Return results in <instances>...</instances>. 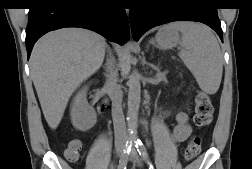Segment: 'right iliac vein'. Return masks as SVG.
<instances>
[{
  "label": "right iliac vein",
  "instance_id": "63e3f726",
  "mask_svg": "<svg viewBox=\"0 0 252 169\" xmlns=\"http://www.w3.org/2000/svg\"><path fill=\"white\" fill-rule=\"evenodd\" d=\"M123 149H124V144H117V145H116V153H117L118 155H121V154H122Z\"/></svg>",
  "mask_w": 252,
  "mask_h": 169
}]
</instances>
